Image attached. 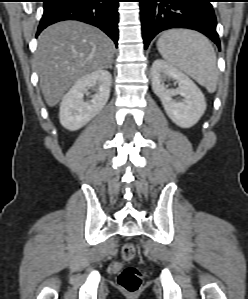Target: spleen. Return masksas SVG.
Segmentation results:
<instances>
[{
    "instance_id": "1",
    "label": "spleen",
    "mask_w": 248,
    "mask_h": 299,
    "mask_svg": "<svg viewBox=\"0 0 248 299\" xmlns=\"http://www.w3.org/2000/svg\"><path fill=\"white\" fill-rule=\"evenodd\" d=\"M157 49L170 65L206 87L209 93L216 91V54L204 35L188 29H170L163 32L158 39Z\"/></svg>"
}]
</instances>
